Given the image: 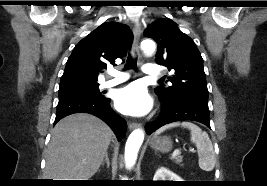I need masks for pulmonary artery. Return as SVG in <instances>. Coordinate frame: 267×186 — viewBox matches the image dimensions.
Returning <instances> with one entry per match:
<instances>
[{
    "label": "pulmonary artery",
    "instance_id": "obj_1",
    "mask_svg": "<svg viewBox=\"0 0 267 186\" xmlns=\"http://www.w3.org/2000/svg\"><path fill=\"white\" fill-rule=\"evenodd\" d=\"M143 73L148 76H159L161 74V67L157 64H147L143 67ZM111 78L102 83L103 87H111L126 81L129 76L126 73L112 71Z\"/></svg>",
    "mask_w": 267,
    "mask_h": 186
}]
</instances>
